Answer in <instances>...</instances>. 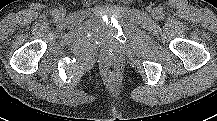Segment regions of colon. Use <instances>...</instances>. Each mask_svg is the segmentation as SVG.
Here are the masks:
<instances>
[{"label":"colon","instance_id":"obj_1","mask_svg":"<svg viewBox=\"0 0 217 121\" xmlns=\"http://www.w3.org/2000/svg\"><path fill=\"white\" fill-rule=\"evenodd\" d=\"M118 70H119V66L117 64H114V63L107 64L104 67L105 73L109 76L116 74L118 72Z\"/></svg>","mask_w":217,"mask_h":121}]
</instances>
